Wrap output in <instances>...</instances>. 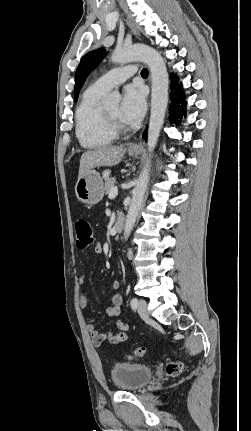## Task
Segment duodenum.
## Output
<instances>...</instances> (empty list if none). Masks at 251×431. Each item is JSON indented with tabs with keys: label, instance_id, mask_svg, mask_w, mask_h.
I'll return each mask as SVG.
<instances>
[{
	"label": "duodenum",
	"instance_id": "1",
	"mask_svg": "<svg viewBox=\"0 0 251 431\" xmlns=\"http://www.w3.org/2000/svg\"><path fill=\"white\" fill-rule=\"evenodd\" d=\"M124 222H125L124 215L121 214V213H119L117 215V218H116V221H115V224H114V229H115V231L117 233H119V232H121L123 230Z\"/></svg>",
	"mask_w": 251,
	"mask_h": 431
}]
</instances>
